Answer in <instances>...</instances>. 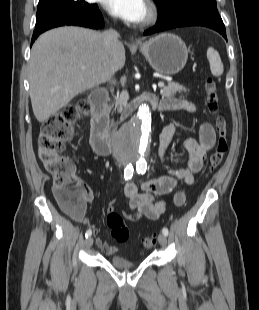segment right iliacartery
Instances as JSON below:
<instances>
[{
  "instance_id": "82829eb1",
  "label": "right iliac artery",
  "mask_w": 259,
  "mask_h": 310,
  "mask_svg": "<svg viewBox=\"0 0 259 310\" xmlns=\"http://www.w3.org/2000/svg\"><path fill=\"white\" fill-rule=\"evenodd\" d=\"M134 173V168L131 164L127 165L126 168L124 169V179L125 180H129L132 178ZM92 231L89 229L86 231L85 233V237L88 238L89 236H91Z\"/></svg>"
}]
</instances>
